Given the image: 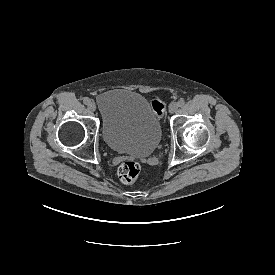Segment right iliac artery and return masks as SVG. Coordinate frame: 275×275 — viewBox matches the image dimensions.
<instances>
[{"label":"right iliac artery","mask_w":275,"mask_h":275,"mask_svg":"<svg viewBox=\"0 0 275 275\" xmlns=\"http://www.w3.org/2000/svg\"><path fill=\"white\" fill-rule=\"evenodd\" d=\"M83 103L86 104V105H89V104L91 103V99L85 97V98L83 99Z\"/></svg>","instance_id":"obj_1"}]
</instances>
